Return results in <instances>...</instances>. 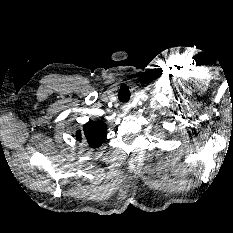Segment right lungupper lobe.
Masks as SVG:
<instances>
[{
  "label": "right lung upper lobe",
  "instance_id": "right-lung-upper-lobe-1",
  "mask_svg": "<svg viewBox=\"0 0 233 233\" xmlns=\"http://www.w3.org/2000/svg\"><path fill=\"white\" fill-rule=\"evenodd\" d=\"M107 126L103 122L91 121L83 126V130L77 131L76 137L83 140L91 148H98L106 140Z\"/></svg>",
  "mask_w": 233,
  "mask_h": 233
}]
</instances>
